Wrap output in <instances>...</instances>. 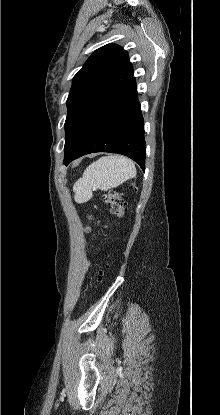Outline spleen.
<instances>
[{
    "mask_svg": "<svg viewBox=\"0 0 220 415\" xmlns=\"http://www.w3.org/2000/svg\"><path fill=\"white\" fill-rule=\"evenodd\" d=\"M136 168L130 159L119 155L101 157L89 165L73 186L75 201L87 202L92 198V189L107 191L135 177Z\"/></svg>",
    "mask_w": 220,
    "mask_h": 415,
    "instance_id": "spleen-1",
    "label": "spleen"
}]
</instances>
